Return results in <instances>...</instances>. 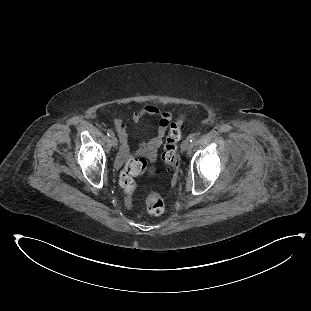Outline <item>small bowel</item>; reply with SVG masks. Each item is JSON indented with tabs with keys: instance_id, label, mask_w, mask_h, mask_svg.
Instances as JSON below:
<instances>
[{
	"instance_id": "obj_1",
	"label": "small bowel",
	"mask_w": 311,
	"mask_h": 311,
	"mask_svg": "<svg viewBox=\"0 0 311 311\" xmlns=\"http://www.w3.org/2000/svg\"><path fill=\"white\" fill-rule=\"evenodd\" d=\"M150 116L158 117L157 131L154 136L141 142L138 154L152 160L156 157L157 150L161 146L166 135L172 120V113L168 110H161L158 106L150 104L134 111L131 115V121L133 123H138L142 118ZM115 128L121 143L120 157L126 160L130 156L126 124L122 120H116Z\"/></svg>"
}]
</instances>
